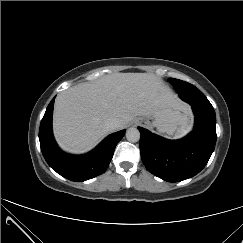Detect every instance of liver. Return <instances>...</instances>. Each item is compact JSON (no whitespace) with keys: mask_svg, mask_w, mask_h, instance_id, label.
I'll return each mask as SVG.
<instances>
[{"mask_svg":"<svg viewBox=\"0 0 243 243\" xmlns=\"http://www.w3.org/2000/svg\"><path fill=\"white\" fill-rule=\"evenodd\" d=\"M164 107L189 110L153 73H114L58 94L54 134L62 148L81 153L112 131L106 127L109 118L119 119L117 129H122L134 117L149 116Z\"/></svg>","mask_w":243,"mask_h":243,"instance_id":"6515ba94","label":"liver"}]
</instances>
